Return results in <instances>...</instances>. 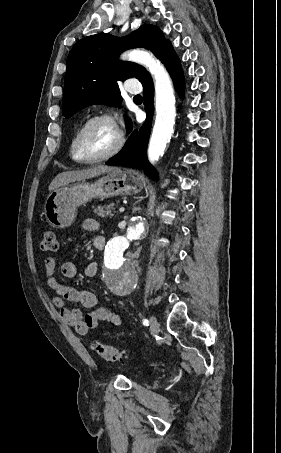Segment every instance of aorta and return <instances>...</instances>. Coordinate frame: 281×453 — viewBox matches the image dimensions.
I'll use <instances>...</instances> for the list:
<instances>
[{"mask_svg":"<svg viewBox=\"0 0 281 453\" xmlns=\"http://www.w3.org/2000/svg\"><path fill=\"white\" fill-rule=\"evenodd\" d=\"M122 59L145 66L154 79L156 118L147 151L149 161L154 164L163 156L175 124L176 108L172 82L161 62L145 50L126 52L122 55ZM144 233V223L136 220L128 227L126 235L112 238L105 247L104 282L107 288L117 296L130 294L137 284L135 268L130 261L124 259L123 253L132 241L140 239Z\"/></svg>","mask_w":281,"mask_h":453,"instance_id":"aorta-1","label":"aorta"}]
</instances>
